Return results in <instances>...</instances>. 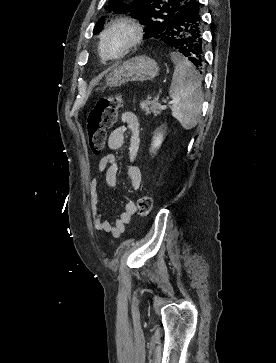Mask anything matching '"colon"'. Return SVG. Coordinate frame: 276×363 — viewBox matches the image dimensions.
Here are the masks:
<instances>
[{
  "mask_svg": "<svg viewBox=\"0 0 276 363\" xmlns=\"http://www.w3.org/2000/svg\"><path fill=\"white\" fill-rule=\"evenodd\" d=\"M122 106L119 95L99 100L89 111L87 116V132L91 151L100 155L105 147L108 130L113 126L117 113ZM153 206L152 196L142 194L137 202L138 212L146 217Z\"/></svg>",
  "mask_w": 276,
  "mask_h": 363,
  "instance_id": "1",
  "label": "colon"
}]
</instances>
